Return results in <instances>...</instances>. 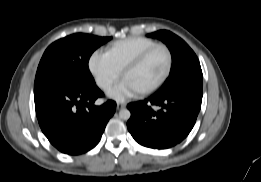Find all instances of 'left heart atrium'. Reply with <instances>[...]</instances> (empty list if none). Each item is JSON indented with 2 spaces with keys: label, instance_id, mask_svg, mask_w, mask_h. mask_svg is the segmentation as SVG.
<instances>
[{
  "label": "left heart atrium",
  "instance_id": "left-heart-atrium-1",
  "mask_svg": "<svg viewBox=\"0 0 261 182\" xmlns=\"http://www.w3.org/2000/svg\"><path fill=\"white\" fill-rule=\"evenodd\" d=\"M137 94H139V92L126 80H123L114 89L108 92V96L117 101H124Z\"/></svg>",
  "mask_w": 261,
  "mask_h": 182
}]
</instances>
